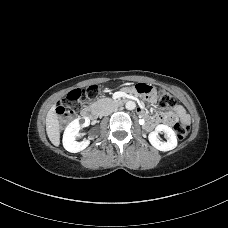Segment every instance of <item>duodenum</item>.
<instances>
[{"label":"duodenum","instance_id":"duodenum-1","mask_svg":"<svg viewBox=\"0 0 228 228\" xmlns=\"http://www.w3.org/2000/svg\"><path fill=\"white\" fill-rule=\"evenodd\" d=\"M127 102H128L127 99L117 98V99H113L112 101L107 102V104L114 105V106H123ZM100 110H101V106L100 105H96V106H93V107L85 108V109L82 110L81 116H82L83 119H86V120H95L98 117V115L100 113ZM154 120L155 119L153 117L150 118L149 120H147L146 125L150 124V123H153Z\"/></svg>","mask_w":228,"mask_h":228}]
</instances>
